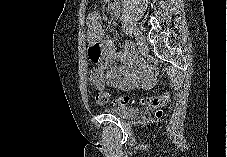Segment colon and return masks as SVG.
Instances as JSON below:
<instances>
[{
	"mask_svg": "<svg viewBox=\"0 0 227 157\" xmlns=\"http://www.w3.org/2000/svg\"><path fill=\"white\" fill-rule=\"evenodd\" d=\"M95 63H98V62H95ZM99 73H100V68L96 67V68L92 69L90 77L94 78ZM95 98H96V102L100 105L107 104L110 100L109 93L105 90L99 91L96 94ZM169 100H170V93L166 92L160 96H148V97L142 98L140 100V103L143 105L153 107V108H158L157 115L161 116L162 111L159 108L164 106ZM113 102L115 105L124 106V105H128V104L132 103L133 99L126 95H120V96L116 97Z\"/></svg>",
	"mask_w": 227,
	"mask_h": 157,
	"instance_id": "obj_1",
	"label": "colon"
}]
</instances>
